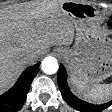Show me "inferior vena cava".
<instances>
[{
    "label": "inferior vena cava",
    "instance_id": "inferior-vena-cava-1",
    "mask_svg": "<svg viewBox=\"0 0 112 112\" xmlns=\"http://www.w3.org/2000/svg\"><path fill=\"white\" fill-rule=\"evenodd\" d=\"M21 57L24 63H31L36 58V55L34 53H25Z\"/></svg>",
    "mask_w": 112,
    "mask_h": 112
}]
</instances>
